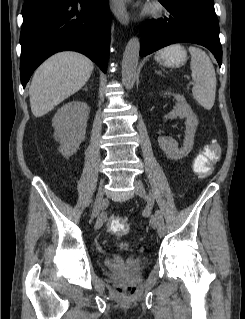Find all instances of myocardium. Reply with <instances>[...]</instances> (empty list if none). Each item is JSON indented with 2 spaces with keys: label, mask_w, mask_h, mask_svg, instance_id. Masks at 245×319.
<instances>
[{
  "label": "myocardium",
  "mask_w": 245,
  "mask_h": 319,
  "mask_svg": "<svg viewBox=\"0 0 245 319\" xmlns=\"http://www.w3.org/2000/svg\"><path fill=\"white\" fill-rule=\"evenodd\" d=\"M147 14L153 18H160L164 14V8L158 3H153L148 6Z\"/></svg>",
  "instance_id": "myocardium-1"
}]
</instances>
